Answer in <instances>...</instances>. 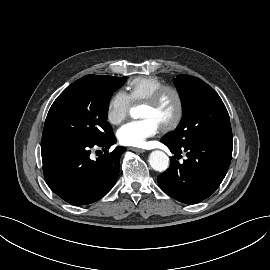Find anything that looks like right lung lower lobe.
<instances>
[{
    "label": "right lung lower lobe",
    "instance_id": "1",
    "mask_svg": "<svg viewBox=\"0 0 270 270\" xmlns=\"http://www.w3.org/2000/svg\"><path fill=\"white\" fill-rule=\"evenodd\" d=\"M115 143L113 133L97 144L42 140L41 154L47 185L72 205L91 204L99 200L115 184L120 170V156L126 149L118 146L96 161L90 158L91 149L102 147L106 151Z\"/></svg>",
    "mask_w": 270,
    "mask_h": 270
}]
</instances>
